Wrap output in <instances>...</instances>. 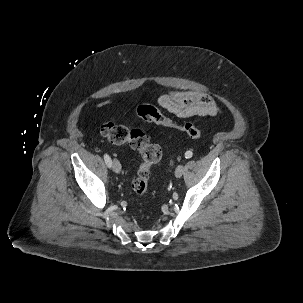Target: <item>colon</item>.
Instances as JSON below:
<instances>
[{
  "label": "colon",
  "mask_w": 303,
  "mask_h": 303,
  "mask_svg": "<svg viewBox=\"0 0 303 303\" xmlns=\"http://www.w3.org/2000/svg\"><path fill=\"white\" fill-rule=\"evenodd\" d=\"M139 118L160 126L178 129L192 139L202 137L201 129L191 123H178L163 115L154 105L142 104L136 109ZM103 137L115 144L128 143L136 149L141 157L142 163L138 169L137 176L132 181V189L136 195L142 197L148 192V182L151 177V168L162 158V149L158 144L150 142L148 135L140 129H128L123 125L108 121L100 127Z\"/></svg>",
  "instance_id": "5ec220e1"
}]
</instances>
